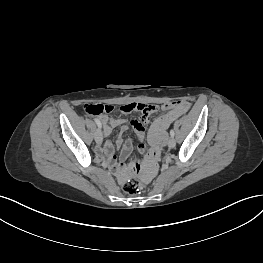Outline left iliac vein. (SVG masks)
Returning a JSON list of instances; mask_svg holds the SVG:
<instances>
[{
	"label": "left iliac vein",
	"mask_w": 263,
	"mask_h": 263,
	"mask_svg": "<svg viewBox=\"0 0 263 263\" xmlns=\"http://www.w3.org/2000/svg\"><path fill=\"white\" fill-rule=\"evenodd\" d=\"M175 139L174 137H170L169 140H168V147L169 148H174L175 147Z\"/></svg>",
	"instance_id": "1"
}]
</instances>
